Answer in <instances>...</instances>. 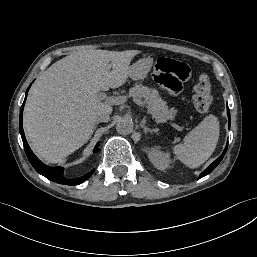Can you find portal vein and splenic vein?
Segmentation results:
<instances>
[{
  "instance_id": "1",
  "label": "portal vein and splenic vein",
  "mask_w": 257,
  "mask_h": 257,
  "mask_svg": "<svg viewBox=\"0 0 257 257\" xmlns=\"http://www.w3.org/2000/svg\"><path fill=\"white\" fill-rule=\"evenodd\" d=\"M98 96L101 100H106L107 103L112 104V105H119L126 101V97H124V96L108 97L105 93H99ZM135 102L139 105H142V102H140L139 100H135Z\"/></svg>"
}]
</instances>
